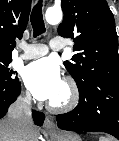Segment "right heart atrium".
<instances>
[{"mask_svg": "<svg viewBox=\"0 0 119 141\" xmlns=\"http://www.w3.org/2000/svg\"><path fill=\"white\" fill-rule=\"evenodd\" d=\"M21 100L26 104H30L32 101L30 93L28 91L24 90L21 94Z\"/></svg>", "mask_w": 119, "mask_h": 141, "instance_id": "1", "label": "right heart atrium"}]
</instances>
